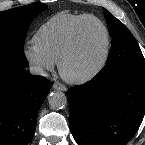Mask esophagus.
<instances>
[{
    "label": "esophagus",
    "instance_id": "obj_1",
    "mask_svg": "<svg viewBox=\"0 0 145 145\" xmlns=\"http://www.w3.org/2000/svg\"><path fill=\"white\" fill-rule=\"evenodd\" d=\"M55 90L67 91V87L60 82H55L52 86Z\"/></svg>",
    "mask_w": 145,
    "mask_h": 145
}]
</instances>
